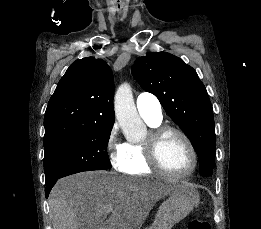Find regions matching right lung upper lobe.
Segmentation results:
<instances>
[{
  "mask_svg": "<svg viewBox=\"0 0 261 229\" xmlns=\"http://www.w3.org/2000/svg\"><path fill=\"white\" fill-rule=\"evenodd\" d=\"M114 78L102 59L76 60L59 81L45 117L44 148L92 126L114 124Z\"/></svg>",
  "mask_w": 261,
  "mask_h": 229,
  "instance_id": "obj_1",
  "label": "right lung upper lobe"
}]
</instances>
